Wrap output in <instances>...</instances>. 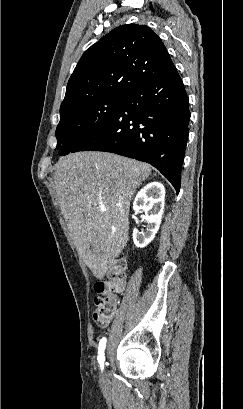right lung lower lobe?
I'll return each instance as SVG.
<instances>
[{
    "instance_id": "98d812e1",
    "label": "right lung lower lobe",
    "mask_w": 243,
    "mask_h": 409,
    "mask_svg": "<svg viewBox=\"0 0 243 409\" xmlns=\"http://www.w3.org/2000/svg\"><path fill=\"white\" fill-rule=\"evenodd\" d=\"M189 120L188 96L176 70L133 90L110 123L72 152L106 151L147 162L179 193Z\"/></svg>"
}]
</instances>
